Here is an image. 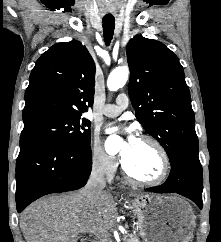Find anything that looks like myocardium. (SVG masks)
Masks as SVG:
<instances>
[{"mask_svg": "<svg viewBox=\"0 0 221 242\" xmlns=\"http://www.w3.org/2000/svg\"><path fill=\"white\" fill-rule=\"evenodd\" d=\"M140 141H146L151 143L157 150L159 157L161 159V171L160 174L151 180L140 179L132 175L127 169L123 158L121 159V166L126 179L132 183L142 185V186H156L162 183L168 176L170 171V159L165 147L154 137L150 135H142L139 138Z\"/></svg>", "mask_w": 221, "mask_h": 242, "instance_id": "myocardium-1", "label": "myocardium"}]
</instances>
